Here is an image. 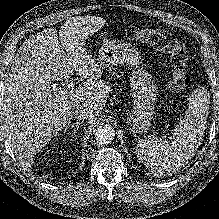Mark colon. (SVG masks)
Wrapping results in <instances>:
<instances>
[{
    "instance_id": "5ec220e1",
    "label": "colon",
    "mask_w": 219,
    "mask_h": 219,
    "mask_svg": "<svg viewBox=\"0 0 219 219\" xmlns=\"http://www.w3.org/2000/svg\"><path fill=\"white\" fill-rule=\"evenodd\" d=\"M126 37L149 43L170 55L172 66L171 91H183L189 84L186 67L189 59L185 43L179 37L162 30L131 26L125 29Z\"/></svg>"
}]
</instances>
